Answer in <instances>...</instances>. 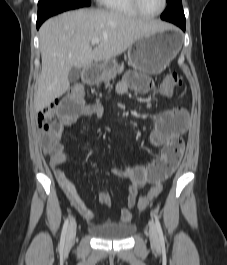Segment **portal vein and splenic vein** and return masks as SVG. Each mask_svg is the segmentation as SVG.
I'll use <instances>...</instances> for the list:
<instances>
[{"label":"portal vein and splenic vein","instance_id":"1","mask_svg":"<svg viewBox=\"0 0 227 265\" xmlns=\"http://www.w3.org/2000/svg\"><path fill=\"white\" fill-rule=\"evenodd\" d=\"M99 42H100V39H99V38H93V39L91 40V44H92V45L99 44Z\"/></svg>","mask_w":227,"mask_h":265}]
</instances>
